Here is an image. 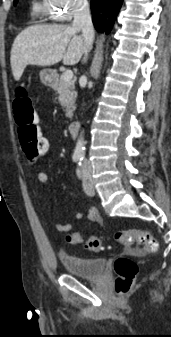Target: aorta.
<instances>
[{"label":"aorta","instance_id":"762f6f07","mask_svg":"<svg viewBox=\"0 0 171 337\" xmlns=\"http://www.w3.org/2000/svg\"><path fill=\"white\" fill-rule=\"evenodd\" d=\"M84 154H85L84 132H81L75 145L74 155L78 157H83Z\"/></svg>","mask_w":171,"mask_h":337}]
</instances>
